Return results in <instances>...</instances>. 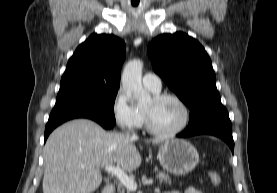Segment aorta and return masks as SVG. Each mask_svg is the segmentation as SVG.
Here are the masks:
<instances>
[{
	"instance_id": "obj_1",
	"label": "aorta",
	"mask_w": 277,
	"mask_h": 193,
	"mask_svg": "<svg viewBox=\"0 0 277 193\" xmlns=\"http://www.w3.org/2000/svg\"><path fill=\"white\" fill-rule=\"evenodd\" d=\"M142 70L143 62L134 59L125 65L122 73V87L132 104H143L150 100V94L142 86Z\"/></svg>"
}]
</instances>
